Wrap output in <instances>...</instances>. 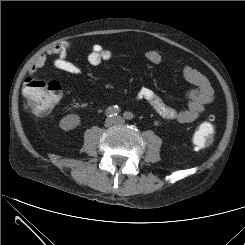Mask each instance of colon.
I'll return each mask as SVG.
<instances>
[{"instance_id":"colon-1","label":"colon","mask_w":245,"mask_h":245,"mask_svg":"<svg viewBox=\"0 0 245 245\" xmlns=\"http://www.w3.org/2000/svg\"><path fill=\"white\" fill-rule=\"evenodd\" d=\"M26 107L37 116L47 115L61 98L62 86L58 81L27 77L23 84ZM214 117L201 123L193 136V143L198 149L211 145L214 139Z\"/></svg>"}]
</instances>
